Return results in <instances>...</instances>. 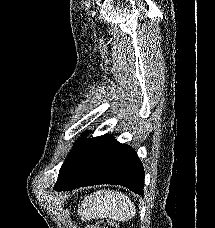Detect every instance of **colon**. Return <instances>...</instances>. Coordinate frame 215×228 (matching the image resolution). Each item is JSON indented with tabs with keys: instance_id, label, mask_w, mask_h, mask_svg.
I'll return each instance as SVG.
<instances>
[{
	"instance_id": "5ec220e1",
	"label": "colon",
	"mask_w": 215,
	"mask_h": 228,
	"mask_svg": "<svg viewBox=\"0 0 215 228\" xmlns=\"http://www.w3.org/2000/svg\"><path fill=\"white\" fill-rule=\"evenodd\" d=\"M85 228H118V225L113 221H105L97 225H86Z\"/></svg>"
}]
</instances>
